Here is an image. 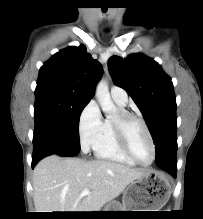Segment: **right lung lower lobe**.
<instances>
[{
    "label": "right lung lower lobe",
    "instance_id": "right-lung-lower-lobe-1",
    "mask_svg": "<svg viewBox=\"0 0 203 219\" xmlns=\"http://www.w3.org/2000/svg\"><path fill=\"white\" fill-rule=\"evenodd\" d=\"M47 154L46 146L40 145L34 147L33 157H32V168L38 163L40 159L45 157Z\"/></svg>",
    "mask_w": 203,
    "mask_h": 219
}]
</instances>
